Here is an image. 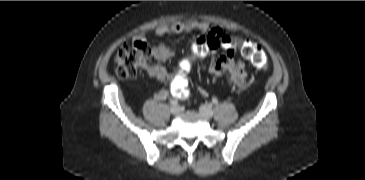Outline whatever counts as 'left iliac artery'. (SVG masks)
Here are the masks:
<instances>
[{"label": "left iliac artery", "mask_w": 365, "mask_h": 180, "mask_svg": "<svg viewBox=\"0 0 365 180\" xmlns=\"http://www.w3.org/2000/svg\"><path fill=\"white\" fill-rule=\"evenodd\" d=\"M212 103H213V104H218V100H217L216 98H213V99H212Z\"/></svg>", "instance_id": "44dca946"}]
</instances>
